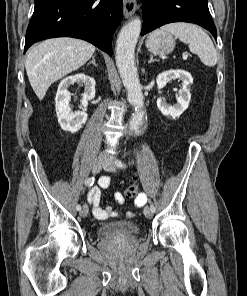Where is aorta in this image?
<instances>
[{"label":"aorta","instance_id":"aorta-1","mask_svg":"<svg viewBox=\"0 0 247 296\" xmlns=\"http://www.w3.org/2000/svg\"><path fill=\"white\" fill-rule=\"evenodd\" d=\"M141 31V20L136 17L125 24L116 41V64L123 85L127 90L128 101L135 106L130 121V129L138 132L143 123L144 96L134 64L135 47Z\"/></svg>","mask_w":247,"mask_h":296}]
</instances>
